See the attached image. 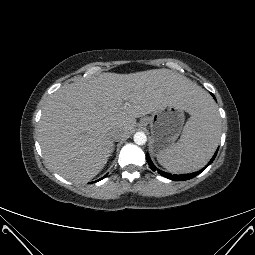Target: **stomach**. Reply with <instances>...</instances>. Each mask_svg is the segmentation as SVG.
<instances>
[{"label":"stomach","mask_w":255,"mask_h":255,"mask_svg":"<svg viewBox=\"0 0 255 255\" xmlns=\"http://www.w3.org/2000/svg\"><path fill=\"white\" fill-rule=\"evenodd\" d=\"M151 114L150 150L158 155L178 138L185 120L184 110L174 104H167Z\"/></svg>","instance_id":"0dacf381"}]
</instances>
